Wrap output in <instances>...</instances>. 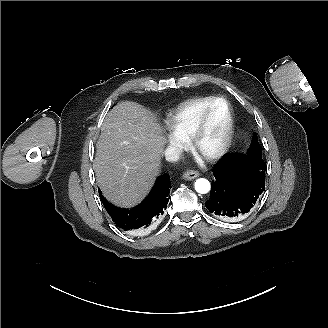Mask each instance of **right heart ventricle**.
<instances>
[{"mask_svg": "<svg viewBox=\"0 0 328 328\" xmlns=\"http://www.w3.org/2000/svg\"><path fill=\"white\" fill-rule=\"evenodd\" d=\"M214 98V96H199L175 106V117L169 130L178 139L181 147L186 145L190 126L199 111L209 105Z\"/></svg>", "mask_w": 328, "mask_h": 328, "instance_id": "right-heart-ventricle-1", "label": "right heart ventricle"}]
</instances>
